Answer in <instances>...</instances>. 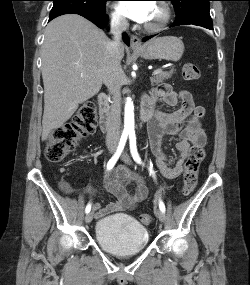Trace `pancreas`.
<instances>
[{
	"label": "pancreas",
	"instance_id": "obj_1",
	"mask_svg": "<svg viewBox=\"0 0 250 285\" xmlns=\"http://www.w3.org/2000/svg\"><path fill=\"white\" fill-rule=\"evenodd\" d=\"M174 73V70H171V71H162L157 74V75H154L153 77L150 78V81H151V84L152 85H157V84H160L166 80H168L172 74Z\"/></svg>",
	"mask_w": 250,
	"mask_h": 285
}]
</instances>
